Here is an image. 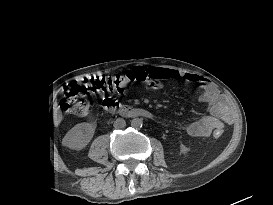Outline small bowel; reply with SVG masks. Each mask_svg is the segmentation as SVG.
<instances>
[{
  "label": "small bowel",
  "instance_id": "obj_1",
  "mask_svg": "<svg viewBox=\"0 0 273 205\" xmlns=\"http://www.w3.org/2000/svg\"><path fill=\"white\" fill-rule=\"evenodd\" d=\"M148 70L150 75L154 74L163 80L182 77L189 82L197 83L199 85L201 89L200 97L207 103L210 115L195 118L185 123L182 126V129L189 135L194 137H207L215 130H221L224 124L232 122L233 115L229 105L217 87L210 80L193 73H180L177 70L160 67H150ZM148 84L155 89L162 86L160 82L149 81Z\"/></svg>",
  "mask_w": 273,
  "mask_h": 205
}]
</instances>
